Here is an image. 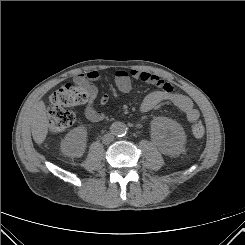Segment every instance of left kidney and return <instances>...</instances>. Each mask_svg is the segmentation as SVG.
Returning <instances> with one entry per match:
<instances>
[{"instance_id":"left-kidney-1","label":"left kidney","mask_w":245,"mask_h":245,"mask_svg":"<svg viewBox=\"0 0 245 245\" xmlns=\"http://www.w3.org/2000/svg\"><path fill=\"white\" fill-rule=\"evenodd\" d=\"M152 134L161 150L168 154L177 153L185 141L182 126L168 118H157L152 123Z\"/></svg>"}]
</instances>
